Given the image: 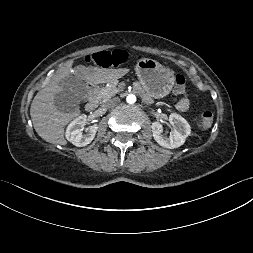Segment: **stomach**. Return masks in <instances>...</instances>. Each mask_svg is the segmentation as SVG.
Here are the masks:
<instances>
[{"label":"stomach","mask_w":253,"mask_h":253,"mask_svg":"<svg viewBox=\"0 0 253 253\" xmlns=\"http://www.w3.org/2000/svg\"><path fill=\"white\" fill-rule=\"evenodd\" d=\"M138 81L144 92L153 98H163L174 86V72L150 58L140 59L135 67Z\"/></svg>","instance_id":"1"}]
</instances>
